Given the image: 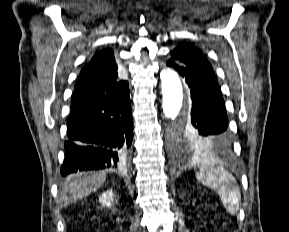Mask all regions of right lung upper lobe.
Returning a JSON list of instances; mask_svg holds the SVG:
<instances>
[{"instance_id":"cb5924a9","label":"right lung upper lobe","mask_w":289,"mask_h":232,"mask_svg":"<svg viewBox=\"0 0 289 232\" xmlns=\"http://www.w3.org/2000/svg\"><path fill=\"white\" fill-rule=\"evenodd\" d=\"M128 86L113 50L103 49L81 70L71 108L116 98L128 91Z\"/></svg>"}]
</instances>
